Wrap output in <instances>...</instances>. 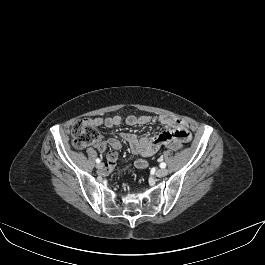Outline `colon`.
<instances>
[{
	"instance_id": "1",
	"label": "colon",
	"mask_w": 265,
	"mask_h": 265,
	"mask_svg": "<svg viewBox=\"0 0 265 265\" xmlns=\"http://www.w3.org/2000/svg\"><path fill=\"white\" fill-rule=\"evenodd\" d=\"M72 144L77 149L85 148L89 145L95 144L100 135L95 127L88 120H78L71 128ZM167 146L171 149H181L183 144L176 140H169Z\"/></svg>"
}]
</instances>
